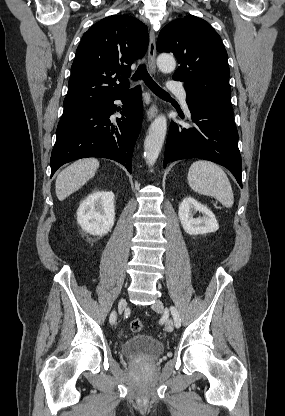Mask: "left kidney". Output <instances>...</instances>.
Segmentation results:
<instances>
[{"mask_svg":"<svg viewBox=\"0 0 285 416\" xmlns=\"http://www.w3.org/2000/svg\"><path fill=\"white\" fill-rule=\"evenodd\" d=\"M196 212H201L203 218H193ZM178 216L183 230L187 234H190V236L210 234V232H217L219 228L213 212L209 208H206V206H202L194 198H184L179 206Z\"/></svg>","mask_w":285,"mask_h":416,"instance_id":"obj_1","label":"left kidney"}]
</instances>
